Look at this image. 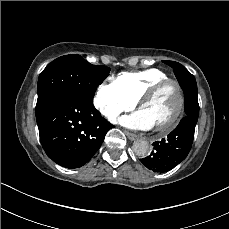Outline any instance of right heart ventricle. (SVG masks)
Returning a JSON list of instances; mask_svg holds the SVG:
<instances>
[{"label":"right heart ventricle","instance_id":"e07e8e85","mask_svg":"<svg viewBox=\"0 0 229 229\" xmlns=\"http://www.w3.org/2000/svg\"><path fill=\"white\" fill-rule=\"evenodd\" d=\"M167 78L169 75L166 72L157 68H149L121 72L115 81L129 98L137 102L144 97L150 88Z\"/></svg>","mask_w":229,"mask_h":229}]
</instances>
